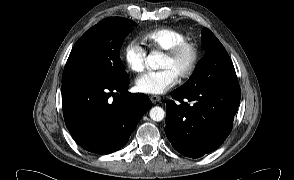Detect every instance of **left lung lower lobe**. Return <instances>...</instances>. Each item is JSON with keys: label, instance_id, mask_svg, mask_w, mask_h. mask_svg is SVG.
Returning <instances> with one entry per match:
<instances>
[{"label": "left lung lower lobe", "instance_id": "obj_1", "mask_svg": "<svg viewBox=\"0 0 294 180\" xmlns=\"http://www.w3.org/2000/svg\"><path fill=\"white\" fill-rule=\"evenodd\" d=\"M166 102L165 133L173 148L198 158L217 149L230 134L238 110L239 87L177 88Z\"/></svg>", "mask_w": 294, "mask_h": 180}]
</instances>
